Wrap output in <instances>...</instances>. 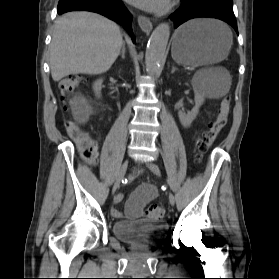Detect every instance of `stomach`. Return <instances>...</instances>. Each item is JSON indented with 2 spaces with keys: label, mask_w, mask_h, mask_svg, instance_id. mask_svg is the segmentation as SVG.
<instances>
[{
  "label": "stomach",
  "mask_w": 279,
  "mask_h": 279,
  "mask_svg": "<svg viewBox=\"0 0 279 279\" xmlns=\"http://www.w3.org/2000/svg\"><path fill=\"white\" fill-rule=\"evenodd\" d=\"M221 24L197 19L182 25L172 37L173 60L187 66H204L225 59L232 45V35L225 32Z\"/></svg>",
  "instance_id": "0dacf381"
}]
</instances>
